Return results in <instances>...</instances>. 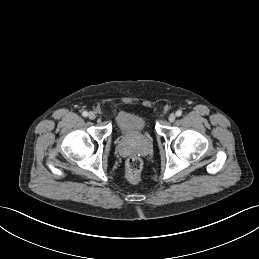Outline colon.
I'll return each mask as SVG.
<instances>
[{
	"label": "colon",
	"instance_id": "1",
	"mask_svg": "<svg viewBox=\"0 0 259 259\" xmlns=\"http://www.w3.org/2000/svg\"><path fill=\"white\" fill-rule=\"evenodd\" d=\"M143 163L139 157L133 156L126 161L125 177L131 183H137L142 174Z\"/></svg>",
	"mask_w": 259,
	"mask_h": 259
}]
</instances>
